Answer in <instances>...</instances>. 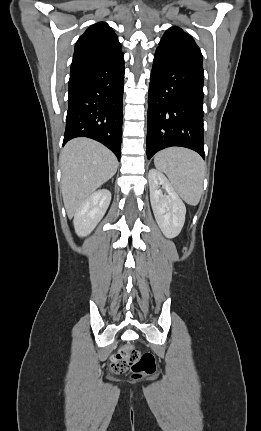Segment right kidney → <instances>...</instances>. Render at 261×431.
I'll use <instances>...</instances> for the list:
<instances>
[{
	"label": "right kidney",
	"mask_w": 261,
	"mask_h": 431,
	"mask_svg": "<svg viewBox=\"0 0 261 431\" xmlns=\"http://www.w3.org/2000/svg\"><path fill=\"white\" fill-rule=\"evenodd\" d=\"M111 201V192L101 189L92 193L74 215V228L78 236L90 234L103 218Z\"/></svg>",
	"instance_id": "1"
}]
</instances>
